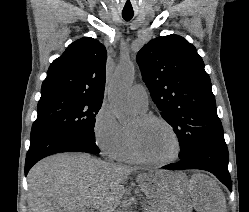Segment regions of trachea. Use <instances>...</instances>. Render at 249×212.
<instances>
[{"mask_svg":"<svg viewBox=\"0 0 249 212\" xmlns=\"http://www.w3.org/2000/svg\"><path fill=\"white\" fill-rule=\"evenodd\" d=\"M133 13H122V17L124 18V20H131L133 17Z\"/></svg>","mask_w":249,"mask_h":212,"instance_id":"obj_1","label":"trachea"}]
</instances>
